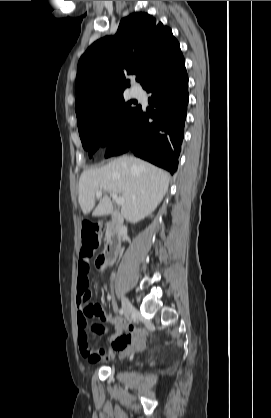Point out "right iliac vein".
I'll use <instances>...</instances> for the list:
<instances>
[{"instance_id": "1", "label": "right iliac vein", "mask_w": 271, "mask_h": 418, "mask_svg": "<svg viewBox=\"0 0 271 418\" xmlns=\"http://www.w3.org/2000/svg\"><path fill=\"white\" fill-rule=\"evenodd\" d=\"M122 308L126 318L129 317L130 313L133 311V306L127 298L122 299Z\"/></svg>"}]
</instances>
